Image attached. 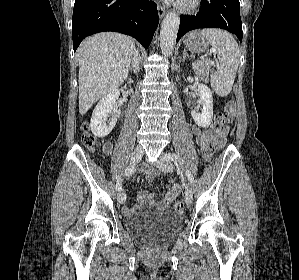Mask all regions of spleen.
<instances>
[{
    "label": "spleen",
    "instance_id": "3e777b00",
    "mask_svg": "<svg viewBox=\"0 0 299 280\" xmlns=\"http://www.w3.org/2000/svg\"><path fill=\"white\" fill-rule=\"evenodd\" d=\"M217 50L219 66L212 73L210 83L215 93L227 96L232 90L239 65V47L234 38L226 31L203 29L199 32Z\"/></svg>",
    "mask_w": 299,
    "mask_h": 280
}]
</instances>
